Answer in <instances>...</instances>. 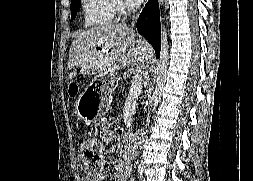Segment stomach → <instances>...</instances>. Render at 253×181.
<instances>
[{
    "label": "stomach",
    "mask_w": 253,
    "mask_h": 181,
    "mask_svg": "<svg viewBox=\"0 0 253 181\" xmlns=\"http://www.w3.org/2000/svg\"><path fill=\"white\" fill-rule=\"evenodd\" d=\"M117 87V74L96 75L82 98L76 102V112L85 122H94L103 117L112 101Z\"/></svg>",
    "instance_id": "obj_1"
}]
</instances>
